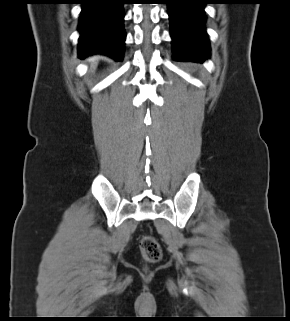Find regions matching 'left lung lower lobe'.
<instances>
[{
    "mask_svg": "<svg viewBox=\"0 0 290 321\" xmlns=\"http://www.w3.org/2000/svg\"><path fill=\"white\" fill-rule=\"evenodd\" d=\"M174 59L202 62L209 58L204 5L209 0H167Z\"/></svg>",
    "mask_w": 290,
    "mask_h": 321,
    "instance_id": "left-lung-lower-lobe-1",
    "label": "left lung lower lobe"
}]
</instances>
